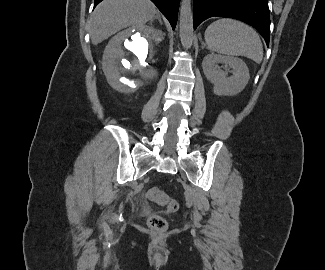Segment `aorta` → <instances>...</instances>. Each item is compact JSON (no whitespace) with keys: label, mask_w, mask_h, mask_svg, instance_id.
<instances>
[{"label":"aorta","mask_w":325,"mask_h":270,"mask_svg":"<svg viewBox=\"0 0 325 270\" xmlns=\"http://www.w3.org/2000/svg\"><path fill=\"white\" fill-rule=\"evenodd\" d=\"M180 40L184 48L188 49L193 43V14L191 0H182L179 17Z\"/></svg>","instance_id":"aorta-1"}]
</instances>
